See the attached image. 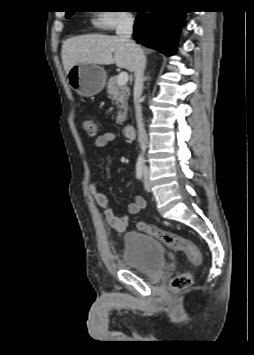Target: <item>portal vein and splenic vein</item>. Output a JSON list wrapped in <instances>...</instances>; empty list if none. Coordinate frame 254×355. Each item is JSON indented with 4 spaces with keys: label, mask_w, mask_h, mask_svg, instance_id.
<instances>
[{
    "label": "portal vein and splenic vein",
    "mask_w": 254,
    "mask_h": 355,
    "mask_svg": "<svg viewBox=\"0 0 254 355\" xmlns=\"http://www.w3.org/2000/svg\"><path fill=\"white\" fill-rule=\"evenodd\" d=\"M128 82V73L121 72L117 77V84L119 86L125 85Z\"/></svg>",
    "instance_id": "obj_1"
}]
</instances>
